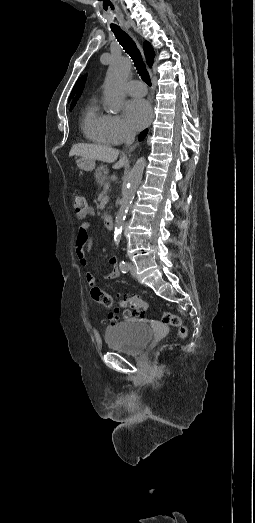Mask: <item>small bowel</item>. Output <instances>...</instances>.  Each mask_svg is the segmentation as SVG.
Returning <instances> with one entry per match:
<instances>
[{
  "mask_svg": "<svg viewBox=\"0 0 255 523\" xmlns=\"http://www.w3.org/2000/svg\"><path fill=\"white\" fill-rule=\"evenodd\" d=\"M94 214V209L89 207L84 212L77 213V218L79 220H84L85 218L93 216ZM90 227V222L82 221L79 225L78 234L76 238V256L80 261L81 265L84 267L88 266L87 252L92 248V242L88 235ZM108 263L112 267V270L109 274L105 276V278L109 280H115L120 275V271L117 265V259L115 257H110L108 259ZM86 276L88 281H93L92 274L89 271L86 273Z\"/></svg>",
  "mask_w": 255,
  "mask_h": 523,
  "instance_id": "small-bowel-1",
  "label": "small bowel"
}]
</instances>
